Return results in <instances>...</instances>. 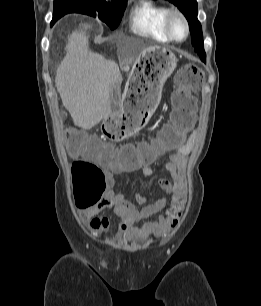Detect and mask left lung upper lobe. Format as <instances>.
Segmentation results:
<instances>
[{
  "label": "left lung upper lobe",
  "mask_w": 261,
  "mask_h": 306,
  "mask_svg": "<svg viewBox=\"0 0 261 306\" xmlns=\"http://www.w3.org/2000/svg\"><path fill=\"white\" fill-rule=\"evenodd\" d=\"M176 5L179 10L185 15L188 20L191 36L192 45L194 46L195 52L198 53L200 59L206 62V54L203 45V35L201 24L197 19V2L196 0H168Z\"/></svg>",
  "instance_id": "1"
}]
</instances>
